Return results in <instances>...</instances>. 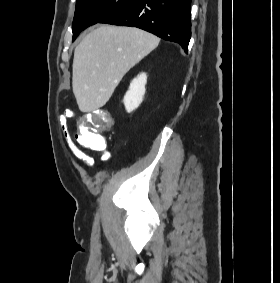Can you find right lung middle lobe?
<instances>
[{"label":"right lung middle lobe","mask_w":280,"mask_h":283,"mask_svg":"<svg viewBox=\"0 0 280 283\" xmlns=\"http://www.w3.org/2000/svg\"><path fill=\"white\" fill-rule=\"evenodd\" d=\"M133 0H77L72 24L73 41L87 27L100 23Z\"/></svg>","instance_id":"1"}]
</instances>
